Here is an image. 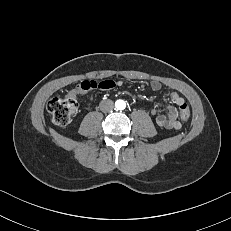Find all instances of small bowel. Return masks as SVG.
I'll list each match as a JSON object with an SVG mask.
<instances>
[{"label": "small bowel", "instance_id": "small-bowel-1", "mask_svg": "<svg viewBox=\"0 0 231 231\" xmlns=\"http://www.w3.org/2000/svg\"><path fill=\"white\" fill-rule=\"evenodd\" d=\"M116 85L121 86L122 82H115L114 80L107 79L100 82L96 81H82L80 82L75 90L76 94L85 95L90 89L100 88L103 90H109L114 88ZM150 87L154 91H158L161 88V83L154 80L151 82ZM171 104H163L165 112L163 114H158L156 116V123L165 129H180L181 122L178 120V109L180 110L183 105L186 104L185 100L176 92H171L169 95ZM157 111L155 109L151 110V115H156Z\"/></svg>", "mask_w": 231, "mask_h": 231}]
</instances>
